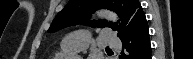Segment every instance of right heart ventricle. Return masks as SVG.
<instances>
[{
    "mask_svg": "<svg viewBox=\"0 0 193 59\" xmlns=\"http://www.w3.org/2000/svg\"><path fill=\"white\" fill-rule=\"evenodd\" d=\"M73 51H65L61 49L52 59H66Z\"/></svg>",
    "mask_w": 193,
    "mask_h": 59,
    "instance_id": "1",
    "label": "right heart ventricle"
}]
</instances>
